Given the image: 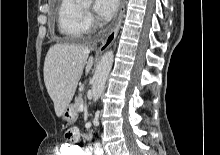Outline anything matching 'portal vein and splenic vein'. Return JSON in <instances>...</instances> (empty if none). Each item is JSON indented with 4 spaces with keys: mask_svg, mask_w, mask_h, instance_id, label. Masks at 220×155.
Segmentation results:
<instances>
[{
    "mask_svg": "<svg viewBox=\"0 0 220 155\" xmlns=\"http://www.w3.org/2000/svg\"><path fill=\"white\" fill-rule=\"evenodd\" d=\"M79 109L82 111L84 109V105H81Z\"/></svg>",
    "mask_w": 220,
    "mask_h": 155,
    "instance_id": "18ae733b",
    "label": "portal vein and splenic vein"
}]
</instances>
